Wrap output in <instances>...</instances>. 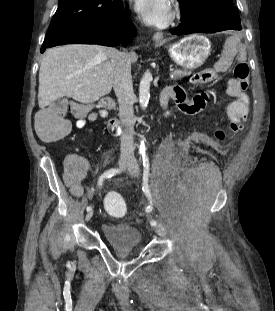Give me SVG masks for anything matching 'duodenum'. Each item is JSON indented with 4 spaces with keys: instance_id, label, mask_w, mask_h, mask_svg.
Listing matches in <instances>:
<instances>
[{
    "instance_id": "410a0bca",
    "label": "duodenum",
    "mask_w": 275,
    "mask_h": 311,
    "mask_svg": "<svg viewBox=\"0 0 275 311\" xmlns=\"http://www.w3.org/2000/svg\"><path fill=\"white\" fill-rule=\"evenodd\" d=\"M166 103H167V98H163L161 100L162 106L164 107V105H166ZM102 106L108 110H112L115 107V102L112 99L107 98V99H104L102 101ZM107 126H108V130L111 134H113V135H119L120 134L121 123H120L118 118H116V117L110 118L108 120Z\"/></svg>"
}]
</instances>
